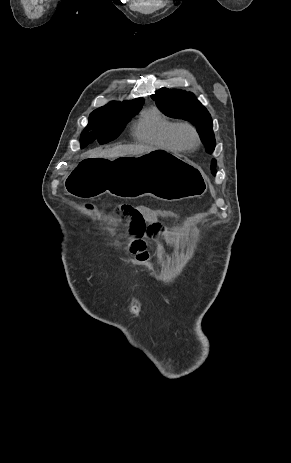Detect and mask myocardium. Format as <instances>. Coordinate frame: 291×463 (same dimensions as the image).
<instances>
[{"label":"myocardium","mask_w":291,"mask_h":463,"mask_svg":"<svg viewBox=\"0 0 291 463\" xmlns=\"http://www.w3.org/2000/svg\"><path fill=\"white\" fill-rule=\"evenodd\" d=\"M184 131L188 132L191 135L192 137L191 144H186L183 141L181 135ZM172 136H173L175 143L178 145V147L183 150H188V151L194 150L200 144V135L198 133V130L196 129L194 125L188 122L176 123L172 130Z\"/></svg>","instance_id":"obj_1"}]
</instances>
